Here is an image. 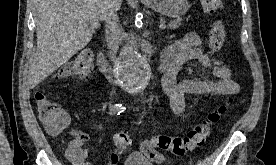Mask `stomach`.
<instances>
[{
    "instance_id": "stomach-1",
    "label": "stomach",
    "mask_w": 276,
    "mask_h": 165,
    "mask_svg": "<svg viewBox=\"0 0 276 165\" xmlns=\"http://www.w3.org/2000/svg\"><path fill=\"white\" fill-rule=\"evenodd\" d=\"M151 9L173 18L183 16L188 10L187 0H143Z\"/></svg>"
}]
</instances>
